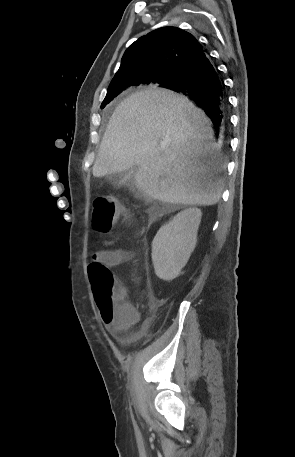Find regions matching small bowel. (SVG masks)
Returning a JSON list of instances; mask_svg holds the SVG:
<instances>
[{
  "label": "small bowel",
  "mask_w": 295,
  "mask_h": 457,
  "mask_svg": "<svg viewBox=\"0 0 295 457\" xmlns=\"http://www.w3.org/2000/svg\"><path fill=\"white\" fill-rule=\"evenodd\" d=\"M114 241H105L104 244L106 248L97 251L94 254V259L97 262L103 263L108 266H118L127 261H129L133 257V253L129 250L121 249V248H111L114 244ZM106 327L116 336L120 337L121 333L130 327L131 325L135 324L138 320V313L136 310L128 304L127 307V314L126 318L120 319H111V320H104L102 319Z\"/></svg>",
  "instance_id": "small-bowel-1"
}]
</instances>
